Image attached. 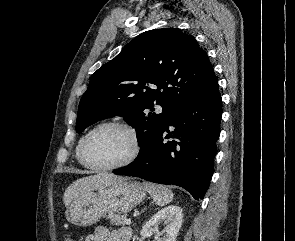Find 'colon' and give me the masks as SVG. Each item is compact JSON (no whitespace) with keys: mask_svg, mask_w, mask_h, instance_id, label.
I'll return each instance as SVG.
<instances>
[{"mask_svg":"<svg viewBox=\"0 0 295 241\" xmlns=\"http://www.w3.org/2000/svg\"><path fill=\"white\" fill-rule=\"evenodd\" d=\"M65 241H73V240H71V239H66Z\"/></svg>","mask_w":295,"mask_h":241,"instance_id":"1","label":"colon"}]
</instances>
